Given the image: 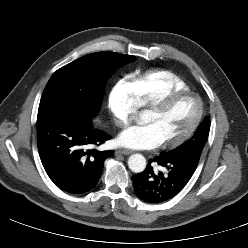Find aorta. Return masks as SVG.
Instances as JSON below:
<instances>
[{"label": "aorta", "mask_w": 248, "mask_h": 248, "mask_svg": "<svg viewBox=\"0 0 248 248\" xmlns=\"http://www.w3.org/2000/svg\"><path fill=\"white\" fill-rule=\"evenodd\" d=\"M146 159L143 155L136 153L129 157L128 166L129 169L134 173H141L146 168Z\"/></svg>", "instance_id": "1"}]
</instances>
